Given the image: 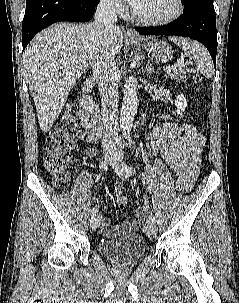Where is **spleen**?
Instances as JSON below:
<instances>
[{
	"instance_id": "1",
	"label": "spleen",
	"mask_w": 239,
	"mask_h": 303,
	"mask_svg": "<svg viewBox=\"0 0 239 303\" xmlns=\"http://www.w3.org/2000/svg\"><path fill=\"white\" fill-rule=\"evenodd\" d=\"M178 47H180L185 55L193 60L206 78H211L213 75V63L207 49L196 41H192L183 37H169Z\"/></svg>"
}]
</instances>
